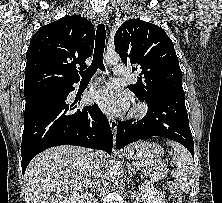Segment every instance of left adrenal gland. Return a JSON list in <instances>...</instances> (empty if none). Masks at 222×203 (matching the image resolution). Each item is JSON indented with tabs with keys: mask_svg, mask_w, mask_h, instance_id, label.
Masks as SVG:
<instances>
[{
	"mask_svg": "<svg viewBox=\"0 0 222 203\" xmlns=\"http://www.w3.org/2000/svg\"><path fill=\"white\" fill-rule=\"evenodd\" d=\"M127 166H128V173H130V171H133L134 173L137 171V170L135 169V167L132 166L131 164L128 163Z\"/></svg>",
	"mask_w": 222,
	"mask_h": 203,
	"instance_id": "left-adrenal-gland-1",
	"label": "left adrenal gland"
}]
</instances>
